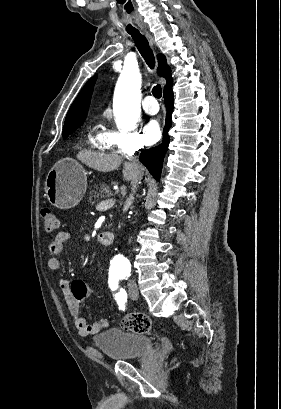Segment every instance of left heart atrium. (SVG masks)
Here are the masks:
<instances>
[{"mask_svg":"<svg viewBox=\"0 0 281 409\" xmlns=\"http://www.w3.org/2000/svg\"><path fill=\"white\" fill-rule=\"evenodd\" d=\"M160 126L155 120H152L147 124L144 130V137L147 143H155L160 137Z\"/></svg>","mask_w":281,"mask_h":409,"instance_id":"left-heart-atrium-1","label":"left heart atrium"}]
</instances>
